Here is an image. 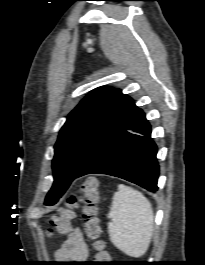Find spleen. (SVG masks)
<instances>
[{
    "instance_id": "spleen-1",
    "label": "spleen",
    "mask_w": 205,
    "mask_h": 265,
    "mask_svg": "<svg viewBox=\"0 0 205 265\" xmlns=\"http://www.w3.org/2000/svg\"><path fill=\"white\" fill-rule=\"evenodd\" d=\"M111 242L131 257L146 253L151 242L154 215L149 200L138 190L118 185L108 213Z\"/></svg>"
}]
</instances>
